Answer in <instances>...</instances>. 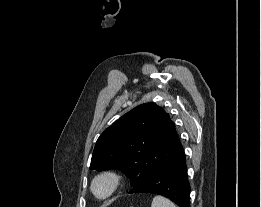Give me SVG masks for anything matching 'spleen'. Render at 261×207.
<instances>
[{
  "instance_id": "spleen-1",
  "label": "spleen",
  "mask_w": 261,
  "mask_h": 207,
  "mask_svg": "<svg viewBox=\"0 0 261 207\" xmlns=\"http://www.w3.org/2000/svg\"><path fill=\"white\" fill-rule=\"evenodd\" d=\"M151 207H176L170 200L162 196H155Z\"/></svg>"
}]
</instances>
